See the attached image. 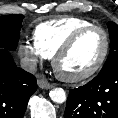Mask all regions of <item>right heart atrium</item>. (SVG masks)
<instances>
[{
	"label": "right heart atrium",
	"instance_id": "1",
	"mask_svg": "<svg viewBox=\"0 0 118 118\" xmlns=\"http://www.w3.org/2000/svg\"><path fill=\"white\" fill-rule=\"evenodd\" d=\"M19 53L28 66H35L47 59L35 43L31 41H23L19 45Z\"/></svg>",
	"mask_w": 118,
	"mask_h": 118
}]
</instances>
